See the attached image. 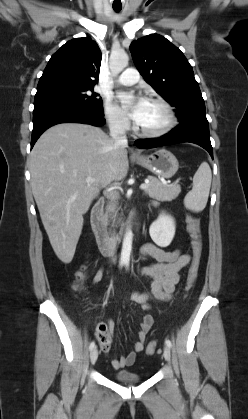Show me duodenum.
<instances>
[{
	"instance_id": "duodenum-1",
	"label": "duodenum",
	"mask_w": 248,
	"mask_h": 419,
	"mask_svg": "<svg viewBox=\"0 0 248 419\" xmlns=\"http://www.w3.org/2000/svg\"><path fill=\"white\" fill-rule=\"evenodd\" d=\"M105 206L104 198H100L94 204L91 216H90V223L92 230L96 236V241L101 249V251L106 254L110 255L112 253V246H111V239L107 231V227L103 218V211ZM138 221L135 223V228H138Z\"/></svg>"
}]
</instances>
